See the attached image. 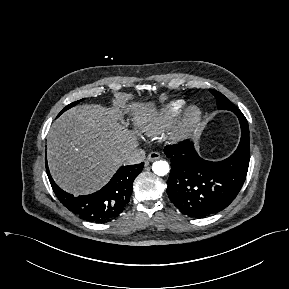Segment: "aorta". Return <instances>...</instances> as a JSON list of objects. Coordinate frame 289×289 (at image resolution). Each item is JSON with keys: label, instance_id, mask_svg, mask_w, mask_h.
Listing matches in <instances>:
<instances>
[{"label": "aorta", "instance_id": "obj_1", "mask_svg": "<svg viewBox=\"0 0 289 289\" xmlns=\"http://www.w3.org/2000/svg\"><path fill=\"white\" fill-rule=\"evenodd\" d=\"M152 170L158 176H165L169 172V164L163 160L156 161L152 165Z\"/></svg>", "mask_w": 289, "mask_h": 289}]
</instances>
